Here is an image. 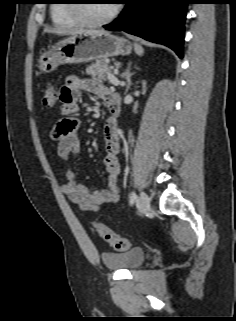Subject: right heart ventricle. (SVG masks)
Returning <instances> with one entry per match:
<instances>
[{
    "instance_id": "obj_1",
    "label": "right heart ventricle",
    "mask_w": 236,
    "mask_h": 321,
    "mask_svg": "<svg viewBox=\"0 0 236 321\" xmlns=\"http://www.w3.org/2000/svg\"><path fill=\"white\" fill-rule=\"evenodd\" d=\"M72 0H58L51 7V18L57 27L70 28L81 24L71 13L70 2Z\"/></svg>"
}]
</instances>
